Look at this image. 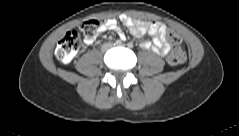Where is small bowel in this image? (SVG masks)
<instances>
[{
	"mask_svg": "<svg viewBox=\"0 0 239 136\" xmlns=\"http://www.w3.org/2000/svg\"><path fill=\"white\" fill-rule=\"evenodd\" d=\"M120 20L123 25L129 29L132 35L140 37L145 33H148L152 37V42H146L143 44L144 48L151 49L155 53L162 56L166 55L170 51V44L166 37L167 27L163 23L137 21L126 15H122ZM105 31H116L120 39L125 40V35L121 30H119L115 19H109L100 26L99 32L102 33ZM94 41L95 38L84 39V43L86 45H92Z\"/></svg>",
	"mask_w": 239,
	"mask_h": 136,
	"instance_id": "small-bowel-1",
	"label": "small bowel"
}]
</instances>
